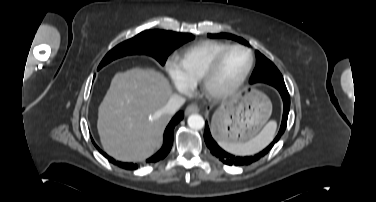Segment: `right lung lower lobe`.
I'll use <instances>...</instances> for the list:
<instances>
[{"label": "right lung lower lobe", "instance_id": "98d812e1", "mask_svg": "<svg viewBox=\"0 0 376 202\" xmlns=\"http://www.w3.org/2000/svg\"><path fill=\"white\" fill-rule=\"evenodd\" d=\"M184 117V114L182 111H179L170 121L168 124L165 132H164V143L160 151H158L155 155H153L151 158L147 159V163H155L159 160H162L166 157V155L169 153L172 144H173V135H174V127L177 123H179ZM94 143V141H93ZM95 147L99 150V152L107 157L109 161L113 164L118 165L121 168L128 169V170H133L137 169V165L133 163H123L119 161H115L113 158L109 157L104 153L102 150L98 148V146L94 143Z\"/></svg>", "mask_w": 376, "mask_h": 202}]
</instances>
